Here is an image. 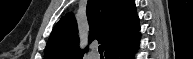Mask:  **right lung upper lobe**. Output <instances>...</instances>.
<instances>
[{"label": "right lung upper lobe", "mask_w": 193, "mask_h": 59, "mask_svg": "<svg viewBox=\"0 0 193 59\" xmlns=\"http://www.w3.org/2000/svg\"><path fill=\"white\" fill-rule=\"evenodd\" d=\"M86 14L90 25V40L105 45V55L139 31L133 0H88ZM77 23L72 13L66 14L53 28L47 42L44 59H82Z\"/></svg>", "instance_id": "1"}]
</instances>
